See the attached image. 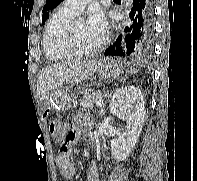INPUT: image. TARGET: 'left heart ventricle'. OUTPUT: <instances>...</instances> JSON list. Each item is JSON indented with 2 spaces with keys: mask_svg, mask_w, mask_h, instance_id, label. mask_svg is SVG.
Returning <instances> with one entry per match:
<instances>
[{
  "mask_svg": "<svg viewBox=\"0 0 197 181\" xmlns=\"http://www.w3.org/2000/svg\"><path fill=\"white\" fill-rule=\"evenodd\" d=\"M102 36L96 33L87 21H81L76 28V44L82 50L95 48L101 41Z\"/></svg>",
  "mask_w": 197,
  "mask_h": 181,
  "instance_id": "b2bd125f",
  "label": "left heart ventricle"
}]
</instances>
